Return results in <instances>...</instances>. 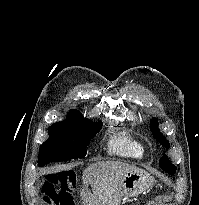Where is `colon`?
I'll return each mask as SVG.
<instances>
[{
    "label": "colon",
    "mask_w": 199,
    "mask_h": 205,
    "mask_svg": "<svg viewBox=\"0 0 199 205\" xmlns=\"http://www.w3.org/2000/svg\"><path fill=\"white\" fill-rule=\"evenodd\" d=\"M74 178V173L71 171L46 175L42 184L44 200L50 205L60 203L62 198L70 193Z\"/></svg>",
    "instance_id": "5ec220e1"
}]
</instances>
